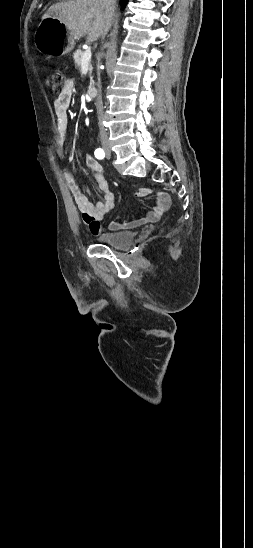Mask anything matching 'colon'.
Returning <instances> with one entry per match:
<instances>
[{"label": "colon", "instance_id": "5ec220e1", "mask_svg": "<svg viewBox=\"0 0 253 548\" xmlns=\"http://www.w3.org/2000/svg\"><path fill=\"white\" fill-rule=\"evenodd\" d=\"M66 84L67 78L62 69L55 68L50 72L48 76V85L53 93H62L66 87Z\"/></svg>", "mask_w": 253, "mask_h": 548}]
</instances>
